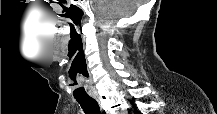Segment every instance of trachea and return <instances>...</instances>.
<instances>
[{"label": "trachea", "instance_id": "trachea-1", "mask_svg": "<svg viewBox=\"0 0 217 114\" xmlns=\"http://www.w3.org/2000/svg\"><path fill=\"white\" fill-rule=\"evenodd\" d=\"M85 114H101L97 101L93 98L76 99Z\"/></svg>", "mask_w": 217, "mask_h": 114}]
</instances>
